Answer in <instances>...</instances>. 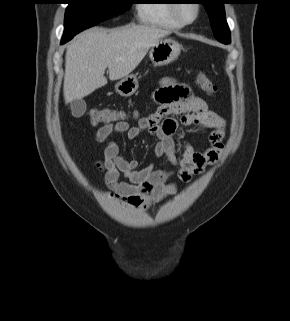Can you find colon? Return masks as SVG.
<instances>
[{"label": "colon", "mask_w": 290, "mask_h": 321, "mask_svg": "<svg viewBox=\"0 0 290 321\" xmlns=\"http://www.w3.org/2000/svg\"><path fill=\"white\" fill-rule=\"evenodd\" d=\"M196 83L208 95L212 96L217 93L216 85L207 77V75L202 70L198 71L196 75ZM124 119V113L116 109H94L90 112V121L92 125L114 124L122 122L124 121Z\"/></svg>", "instance_id": "1"}]
</instances>
